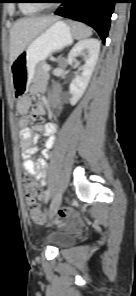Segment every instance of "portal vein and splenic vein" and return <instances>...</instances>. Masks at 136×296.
Instances as JSON below:
<instances>
[{"label": "portal vein and splenic vein", "instance_id": "portal-vein-and-splenic-vein-1", "mask_svg": "<svg viewBox=\"0 0 136 296\" xmlns=\"http://www.w3.org/2000/svg\"><path fill=\"white\" fill-rule=\"evenodd\" d=\"M46 70H47V71H49V70H50V67H49V66H47Z\"/></svg>", "mask_w": 136, "mask_h": 296}]
</instances>
